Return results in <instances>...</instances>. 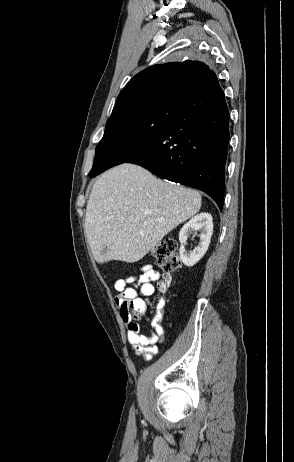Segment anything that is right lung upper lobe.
Returning a JSON list of instances; mask_svg holds the SVG:
<instances>
[{"label": "right lung upper lobe", "mask_w": 294, "mask_h": 462, "mask_svg": "<svg viewBox=\"0 0 294 462\" xmlns=\"http://www.w3.org/2000/svg\"><path fill=\"white\" fill-rule=\"evenodd\" d=\"M217 76L200 61L153 65L136 74L120 92L113 112L137 102L169 93L196 94L217 82Z\"/></svg>", "instance_id": "cb5924a9"}]
</instances>
